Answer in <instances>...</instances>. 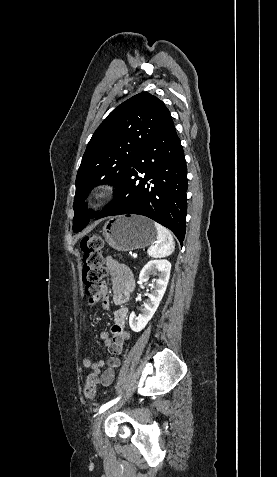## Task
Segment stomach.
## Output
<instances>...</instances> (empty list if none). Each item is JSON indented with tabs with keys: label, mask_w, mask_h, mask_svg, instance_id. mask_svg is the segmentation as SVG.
<instances>
[{
	"label": "stomach",
	"mask_w": 277,
	"mask_h": 477,
	"mask_svg": "<svg viewBox=\"0 0 277 477\" xmlns=\"http://www.w3.org/2000/svg\"><path fill=\"white\" fill-rule=\"evenodd\" d=\"M103 236L113 249L131 251L154 243L156 229L153 222L144 216H116L105 223Z\"/></svg>",
	"instance_id": "stomach-1"
}]
</instances>
